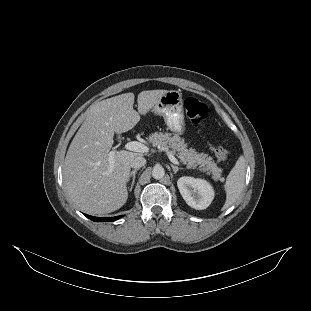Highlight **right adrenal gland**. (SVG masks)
Here are the masks:
<instances>
[{
  "label": "right adrenal gland",
  "instance_id": "right-adrenal-gland-1",
  "mask_svg": "<svg viewBox=\"0 0 311 311\" xmlns=\"http://www.w3.org/2000/svg\"><path fill=\"white\" fill-rule=\"evenodd\" d=\"M138 169H135L134 171L131 172L130 174V177H129V182H128V187H129V190L132 191L133 190V186H134V183H135V175L137 173ZM132 179V181H131ZM130 181H131V185H130Z\"/></svg>",
  "mask_w": 311,
  "mask_h": 311
}]
</instances>
